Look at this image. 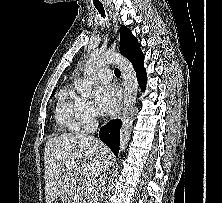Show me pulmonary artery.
<instances>
[{
	"instance_id": "obj_1",
	"label": "pulmonary artery",
	"mask_w": 222,
	"mask_h": 203,
	"mask_svg": "<svg viewBox=\"0 0 222 203\" xmlns=\"http://www.w3.org/2000/svg\"><path fill=\"white\" fill-rule=\"evenodd\" d=\"M112 79V73L108 68H102L97 73V80L101 83H108Z\"/></svg>"
}]
</instances>
